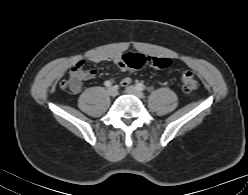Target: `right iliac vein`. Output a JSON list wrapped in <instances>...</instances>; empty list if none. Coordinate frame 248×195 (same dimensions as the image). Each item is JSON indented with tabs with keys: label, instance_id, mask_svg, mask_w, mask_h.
I'll use <instances>...</instances> for the list:
<instances>
[{
	"label": "right iliac vein",
	"instance_id": "63e3f726",
	"mask_svg": "<svg viewBox=\"0 0 248 195\" xmlns=\"http://www.w3.org/2000/svg\"><path fill=\"white\" fill-rule=\"evenodd\" d=\"M107 93L110 95V96H112V97H115L117 94H118V91H117V89L115 88V87H109L108 89H107Z\"/></svg>",
	"mask_w": 248,
	"mask_h": 195
}]
</instances>
